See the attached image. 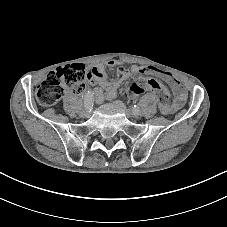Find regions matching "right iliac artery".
Returning a JSON list of instances; mask_svg holds the SVG:
<instances>
[{
	"instance_id": "right-iliac-artery-1",
	"label": "right iliac artery",
	"mask_w": 227,
	"mask_h": 227,
	"mask_svg": "<svg viewBox=\"0 0 227 227\" xmlns=\"http://www.w3.org/2000/svg\"><path fill=\"white\" fill-rule=\"evenodd\" d=\"M94 96L92 91H86L84 95V108L91 110L93 107Z\"/></svg>"
}]
</instances>
